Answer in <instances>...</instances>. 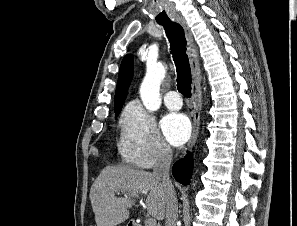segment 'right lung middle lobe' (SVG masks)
I'll return each mask as SVG.
<instances>
[{"mask_svg":"<svg viewBox=\"0 0 297 226\" xmlns=\"http://www.w3.org/2000/svg\"><path fill=\"white\" fill-rule=\"evenodd\" d=\"M121 109H122V106L121 107H118V108H115V116L117 117L119 115V113L121 112Z\"/></svg>","mask_w":297,"mask_h":226,"instance_id":"right-lung-middle-lobe-1","label":"right lung middle lobe"}]
</instances>
